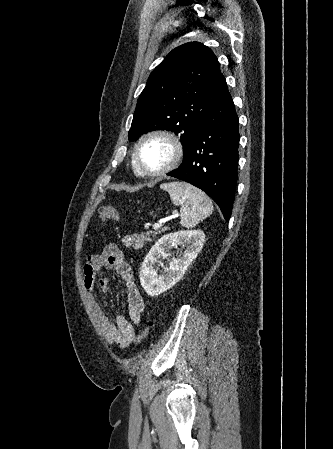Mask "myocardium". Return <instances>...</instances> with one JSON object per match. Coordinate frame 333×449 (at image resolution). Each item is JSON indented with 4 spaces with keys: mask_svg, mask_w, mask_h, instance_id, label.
Here are the masks:
<instances>
[{
    "mask_svg": "<svg viewBox=\"0 0 333 449\" xmlns=\"http://www.w3.org/2000/svg\"><path fill=\"white\" fill-rule=\"evenodd\" d=\"M151 139H162L166 141L169 144L171 150L169 161L162 168L157 170L146 169L142 165L140 160L141 147L145 142ZM183 154H184L183 145L176 135L167 130L157 129L148 131L139 138V140L134 146L133 160L136 165L139 176L143 178H157L175 169L181 162Z\"/></svg>",
    "mask_w": 333,
    "mask_h": 449,
    "instance_id": "myocardium-1",
    "label": "myocardium"
}]
</instances>
